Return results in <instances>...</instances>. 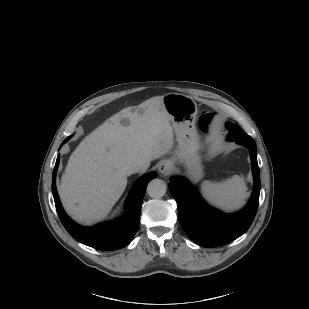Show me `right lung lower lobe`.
<instances>
[{
	"label": "right lung lower lobe",
	"instance_id": "1",
	"mask_svg": "<svg viewBox=\"0 0 309 309\" xmlns=\"http://www.w3.org/2000/svg\"><path fill=\"white\" fill-rule=\"evenodd\" d=\"M66 141L67 139L62 144ZM59 161L60 156L58 155L52 174V193L59 218L69 234L77 241L99 250H116L130 243L139 226L141 204L146 186L157 176V173H148L134 184L127 199L126 212L122 218L86 228L71 220L62 208L55 185Z\"/></svg>",
	"mask_w": 309,
	"mask_h": 309
}]
</instances>
